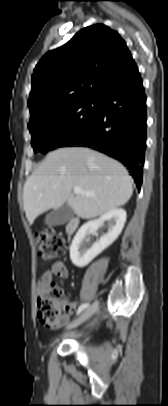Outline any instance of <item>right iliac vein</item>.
I'll list each match as a JSON object with an SVG mask.
<instances>
[{"mask_svg":"<svg viewBox=\"0 0 168 406\" xmlns=\"http://www.w3.org/2000/svg\"><path fill=\"white\" fill-rule=\"evenodd\" d=\"M99 307V302L95 301L89 308H87L72 324L67 327V330L73 329L88 320Z\"/></svg>","mask_w":168,"mask_h":406,"instance_id":"63e3f726","label":"right iliac vein"}]
</instances>
